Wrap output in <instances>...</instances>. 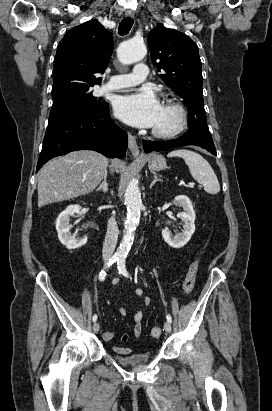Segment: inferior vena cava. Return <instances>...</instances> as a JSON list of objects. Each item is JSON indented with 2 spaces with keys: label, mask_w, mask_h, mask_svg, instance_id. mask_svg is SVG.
Segmentation results:
<instances>
[{
  "label": "inferior vena cava",
  "mask_w": 272,
  "mask_h": 411,
  "mask_svg": "<svg viewBox=\"0 0 272 411\" xmlns=\"http://www.w3.org/2000/svg\"><path fill=\"white\" fill-rule=\"evenodd\" d=\"M118 234V226L114 216H112L108 220L106 237L103 244L102 256L104 260H108L113 255L117 244Z\"/></svg>",
  "instance_id": "602c4592"
}]
</instances>
